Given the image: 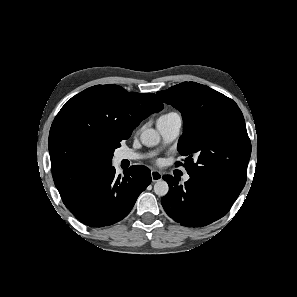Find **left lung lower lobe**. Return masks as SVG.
<instances>
[{"instance_id": "1", "label": "left lung lower lobe", "mask_w": 297, "mask_h": 297, "mask_svg": "<svg viewBox=\"0 0 297 297\" xmlns=\"http://www.w3.org/2000/svg\"><path fill=\"white\" fill-rule=\"evenodd\" d=\"M163 179L169 184V191L161 199L162 206L183 226H206L227 214L235 202L223 192L193 178L185 185H180L171 175H164Z\"/></svg>"}]
</instances>
